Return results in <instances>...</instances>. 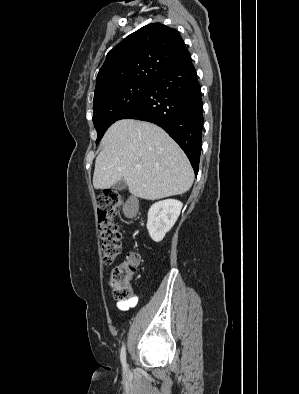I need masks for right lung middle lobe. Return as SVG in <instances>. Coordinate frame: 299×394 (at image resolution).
<instances>
[{"label":"right lung middle lobe","mask_w":299,"mask_h":394,"mask_svg":"<svg viewBox=\"0 0 299 394\" xmlns=\"http://www.w3.org/2000/svg\"><path fill=\"white\" fill-rule=\"evenodd\" d=\"M150 85L151 83L145 82L127 83L94 95L92 119L98 133L96 143L140 99Z\"/></svg>","instance_id":"1"}]
</instances>
